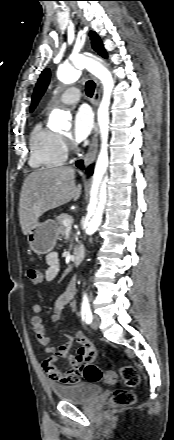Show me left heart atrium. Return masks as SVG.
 <instances>
[{"instance_id":"39dd6f15","label":"left heart atrium","mask_w":174,"mask_h":440,"mask_svg":"<svg viewBox=\"0 0 174 440\" xmlns=\"http://www.w3.org/2000/svg\"><path fill=\"white\" fill-rule=\"evenodd\" d=\"M93 128V115L91 110L86 106L79 107L73 120L72 138L75 142L84 141Z\"/></svg>"}]
</instances>
